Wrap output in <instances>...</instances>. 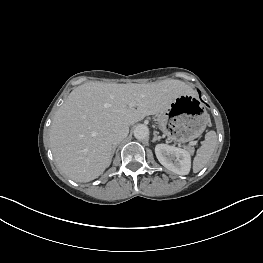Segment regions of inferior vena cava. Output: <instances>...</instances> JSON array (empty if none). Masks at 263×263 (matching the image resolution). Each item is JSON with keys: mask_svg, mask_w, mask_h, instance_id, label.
Returning <instances> with one entry per match:
<instances>
[{"mask_svg": "<svg viewBox=\"0 0 263 263\" xmlns=\"http://www.w3.org/2000/svg\"><path fill=\"white\" fill-rule=\"evenodd\" d=\"M129 133V127L118 126L116 127L110 135L111 142L113 145L119 144Z\"/></svg>", "mask_w": 263, "mask_h": 263, "instance_id": "1", "label": "inferior vena cava"}]
</instances>
